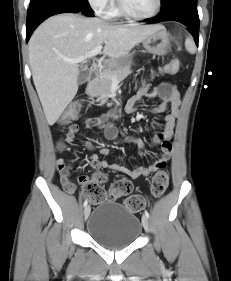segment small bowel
Instances as JSON below:
<instances>
[{
	"mask_svg": "<svg viewBox=\"0 0 231 281\" xmlns=\"http://www.w3.org/2000/svg\"><path fill=\"white\" fill-rule=\"evenodd\" d=\"M144 99H154L157 102L159 111H167L163 118L162 130L155 134L154 142L160 146V154L156 161L149 164L148 166L135 165L132 169H127L125 167L111 164L105 160L100 159L97 154H92L88 160V164L95 170L101 168L110 169L125 174L126 176L136 179L141 176H148L158 170L163 169L167 162L171 158L172 154V137L175 128V121L179 115L180 107V94L177 88L169 81L162 80L158 85L150 90L148 84L142 87L137 94L132 98V102L141 101ZM101 126L100 121H92L86 119L83 121V126L85 128H91L92 126ZM79 130L77 124H72L66 133L65 141L71 146H77L75 141V135ZM104 135L108 140L119 141L118 132L116 128L112 125L104 126ZM84 146L87 150L93 151L94 145L90 141H86ZM102 155L108 154V149L101 150ZM71 164L66 163L63 158H59L56 161V168L60 177L61 185L63 189L69 193L73 194L76 190L75 184L70 179V169ZM77 181L85 186L90 180L85 175H80Z\"/></svg>",
	"mask_w": 231,
	"mask_h": 281,
	"instance_id": "c3829d8e",
	"label": "small bowel"
}]
</instances>
